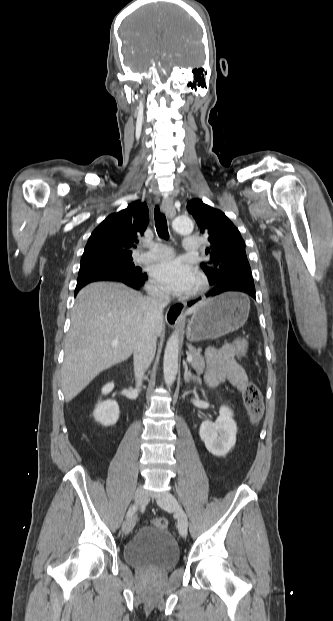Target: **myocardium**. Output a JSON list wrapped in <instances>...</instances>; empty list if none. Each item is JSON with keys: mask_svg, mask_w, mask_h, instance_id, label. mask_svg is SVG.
Listing matches in <instances>:
<instances>
[{"mask_svg": "<svg viewBox=\"0 0 333 621\" xmlns=\"http://www.w3.org/2000/svg\"><path fill=\"white\" fill-rule=\"evenodd\" d=\"M209 288V284L207 279L204 276H198L197 285L192 292V296H200L203 295Z\"/></svg>", "mask_w": 333, "mask_h": 621, "instance_id": "f54148a6", "label": "myocardium"}]
</instances>
